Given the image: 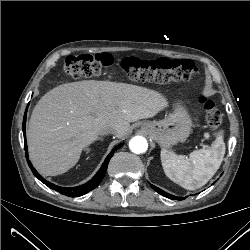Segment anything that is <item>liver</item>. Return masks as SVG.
<instances>
[{"label":"liver","mask_w":250,"mask_h":250,"mask_svg":"<svg viewBox=\"0 0 250 250\" xmlns=\"http://www.w3.org/2000/svg\"><path fill=\"white\" fill-rule=\"evenodd\" d=\"M157 91L110 81L59 85L36 104L27 129L30 159L43 175L67 172L99 132L116 127L115 136L130 132V122L152 118L167 108Z\"/></svg>","instance_id":"1"}]
</instances>
